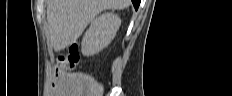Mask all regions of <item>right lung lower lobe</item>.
<instances>
[{
    "mask_svg": "<svg viewBox=\"0 0 232 96\" xmlns=\"http://www.w3.org/2000/svg\"><path fill=\"white\" fill-rule=\"evenodd\" d=\"M131 1H132L133 5H134L135 9L137 10L141 0H131Z\"/></svg>",
    "mask_w": 232,
    "mask_h": 96,
    "instance_id": "right-lung-lower-lobe-1",
    "label": "right lung lower lobe"
}]
</instances>
